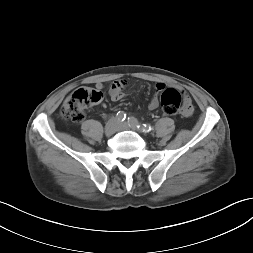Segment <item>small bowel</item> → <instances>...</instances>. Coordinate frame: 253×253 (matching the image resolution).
<instances>
[{
    "instance_id": "1",
    "label": "small bowel",
    "mask_w": 253,
    "mask_h": 253,
    "mask_svg": "<svg viewBox=\"0 0 253 253\" xmlns=\"http://www.w3.org/2000/svg\"><path fill=\"white\" fill-rule=\"evenodd\" d=\"M127 85V81L124 79L117 80L112 83L109 94L112 100L118 101L121 100L124 96L123 94V88ZM166 85L164 83H157L155 86V94L150 100L148 107L151 110L157 109L159 107V100H158V94L162 92L163 89H165ZM96 88L98 90H102L103 86L102 84H97ZM183 104L180 107V112L183 116L190 118L194 114V106L192 105L191 98L188 95L184 94V100Z\"/></svg>"
}]
</instances>
